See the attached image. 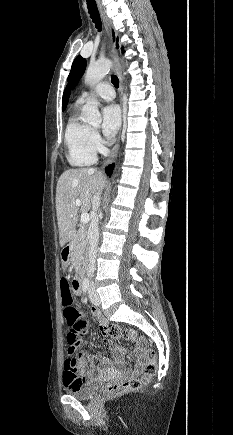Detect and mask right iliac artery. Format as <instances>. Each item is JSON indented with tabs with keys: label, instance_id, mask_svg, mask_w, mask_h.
<instances>
[{
	"label": "right iliac artery",
	"instance_id": "obj_1",
	"mask_svg": "<svg viewBox=\"0 0 233 435\" xmlns=\"http://www.w3.org/2000/svg\"><path fill=\"white\" fill-rule=\"evenodd\" d=\"M89 285H90L89 280H88V279H85V280L83 281V285H82V288H83V291H84V292H87V290H88V288H89Z\"/></svg>",
	"mask_w": 233,
	"mask_h": 435
}]
</instances>
